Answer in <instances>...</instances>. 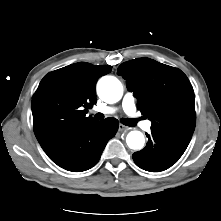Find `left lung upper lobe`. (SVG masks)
<instances>
[{
	"label": "left lung upper lobe",
	"instance_id": "left-lung-upper-lobe-1",
	"mask_svg": "<svg viewBox=\"0 0 221 221\" xmlns=\"http://www.w3.org/2000/svg\"><path fill=\"white\" fill-rule=\"evenodd\" d=\"M118 75L126 80L144 117L152 121L151 131L188 146L195 129V97L187 76L149 58L122 63Z\"/></svg>",
	"mask_w": 221,
	"mask_h": 221
}]
</instances>
